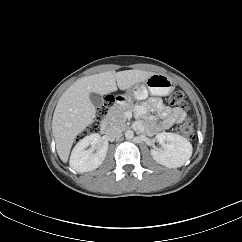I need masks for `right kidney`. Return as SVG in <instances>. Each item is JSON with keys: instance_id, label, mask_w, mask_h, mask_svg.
<instances>
[{"instance_id": "ca27d5eb", "label": "right kidney", "mask_w": 242, "mask_h": 242, "mask_svg": "<svg viewBox=\"0 0 242 242\" xmlns=\"http://www.w3.org/2000/svg\"><path fill=\"white\" fill-rule=\"evenodd\" d=\"M100 135L98 133L90 134L81 139L73 148L70 156V167L77 172H89L98 168L105 159L108 144L99 145ZM89 145L99 146L96 153L85 150Z\"/></svg>"}]
</instances>
